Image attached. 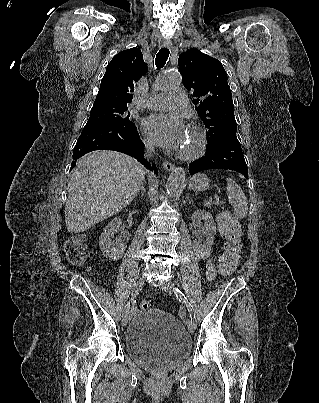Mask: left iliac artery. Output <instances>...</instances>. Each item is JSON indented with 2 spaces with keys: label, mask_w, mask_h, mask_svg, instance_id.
Returning a JSON list of instances; mask_svg holds the SVG:
<instances>
[{
  "label": "left iliac artery",
  "mask_w": 319,
  "mask_h": 403,
  "mask_svg": "<svg viewBox=\"0 0 319 403\" xmlns=\"http://www.w3.org/2000/svg\"><path fill=\"white\" fill-rule=\"evenodd\" d=\"M175 294H176L177 299L187 306L191 321L196 325L197 322H196L194 310H193L191 304L188 302V299L186 298V296L176 287H175ZM187 324H188V322H187Z\"/></svg>",
  "instance_id": "obj_1"
}]
</instances>
